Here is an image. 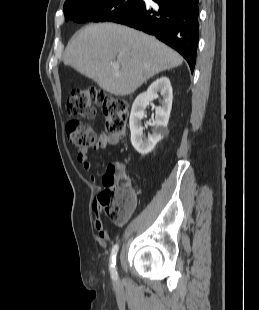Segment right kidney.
<instances>
[{"instance_id":"right-kidney-1","label":"right kidney","mask_w":259,"mask_h":310,"mask_svg":"<svg viewBox=\"0 0 259 310\" xmlns=\"http://www.w3.org/2000/svg\"><path fill=\"white\" fill-rule=\"evenodd\" d=\"M160 93L161 106L156 108L154 129L148 138H143L141 120L145 117V108ZM172 87L167 77H160L154 81L146 92L141 93L134 101L130 114L131 143L141 155L150 153L156 144L167 134V124L172 108Z\"/></svg>"}]
</instances>
